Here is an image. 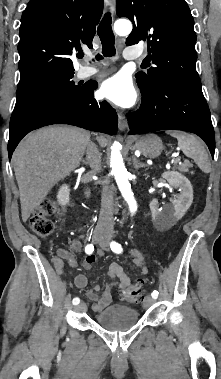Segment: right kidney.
Here are the masks:
<instances>
[{"label": "right kidney", "mask_w": 221, "mask_h": 379, "mask_svg": "<svg viewBox=\"0 0 221 379\" xmlns=\"http://www.w3.org/2000/svg\"><path fill=\"white\" fill-rule=\"evenodd\" d=\"M69 194H70V190H69L68 185L67 184L62 185L57 195L58 202L62 205L67 204L69 202Z\"/></svg>", "instance_id": "1"}]
</instances>
